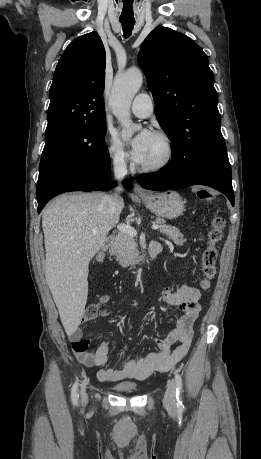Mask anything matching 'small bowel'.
I'll return each mask as SVG.
<instances>
[{"label": "small bowel", "instance_id": "obj_1", "mask_svg": "<svg viewBox=\"0 0 261 459\" xmlns=\"http://www.w3.org/2000/svg\"><path fill=\"white\" fill-rule=\"evenodd\" d=\"M104 258V254L99 253L95 261L100 263ZM199 298L200 291L190 284H185L179 290L164 289L162 292L164 315L168 317L174 311L182 313L175 327L165 337L156 339V351L144 358H130L119 369L102 368L97 373L98 379L102 382H115L126 378L144 379L154 370H169L174 367L190 349L193 326L201 311ZM106 314V311L101 312V315ZM67 335L74 355L81 364L86 367H102L107 364L109 345L106 340H101L95 351H89L90 341L83 339L80 327H70L67 329ZM176 342L179 345L170 352V347Z\"/></svg>", "mask_w": 261, "mask_h": 459}]
</instances>
